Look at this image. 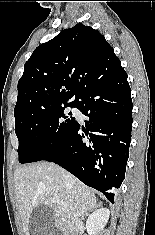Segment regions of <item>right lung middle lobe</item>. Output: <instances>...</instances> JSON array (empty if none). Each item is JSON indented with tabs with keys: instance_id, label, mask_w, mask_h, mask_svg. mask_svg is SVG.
<instances>
[{
	"instance_id": "1",
	"label": "right lung middle lobe",
	"mask_w": 155,
	"mask_h": 235,
	"mask_svg": "<svg viewBox=\"0 0 155 235\" xmlns=\"http://www.w3.org/2000/svg\"><path fill=\"white\" fill-rule=\"evenodd\" d=\"M68 106L75 107V104L28 111L15 118L20 163L43 160L66 142L77 124L71 112L64 113Z\"/></svg>"
}]
</instances>
